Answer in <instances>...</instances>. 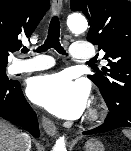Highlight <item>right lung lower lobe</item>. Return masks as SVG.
<instances>
[{
  "mask_svg": "<svg viewBox=\"0 0 131 151\" xmlns=\"http://www.w3.org/2000/svg\"><path fill=\"white\" fill-rule=\"evenodd\" d=\"M0 117L20 123L35 138L40 136L37 116L26 101L19 81L0 82Z\"/></svg>",
  "mask_w": 131,
  "mask_h": 151,
  "instance_id": "98d812e1",
  "label": "right lung lower lobe"
}]
</instances>
